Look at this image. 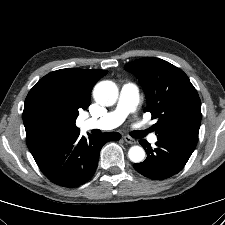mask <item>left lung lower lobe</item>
<instances>
[{"label":"left lung lower lobe","mask_w":225,"mask_h":225,"mask_svg":"<svg viewBox=\"0 0 225 225\" xmlns=\"http://www.w3.org/2000/svg\"><path fill=\"white\" fill-rule=\"evenodd\" d=\"M139 143L144 147L147 158L133 167L140 174L153 180H163L177 174L194 151L169 140L158 139L155 149L144 139Z\"/></svg>","instance_id":"0a47b994"}]
</instances>
